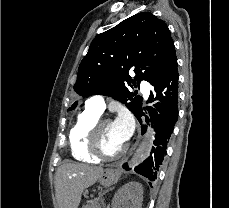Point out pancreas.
<instances>
[{"instance_id":"obj_1","label":"pancreas","mask_w":229,"mask_h":208,"mask_svg":"<svg viewBox=\"0 0 229 208\" xmlns=\"http://www.w3.org/2000/svg\"><path fill=\"white\" fill-rule=\"evenodd\" d=\"M100 196H103V194H100ZM82 208H105L104 200L103 198L88 200V202H86V206H82Z\"/></svg>"}]
</instances>
